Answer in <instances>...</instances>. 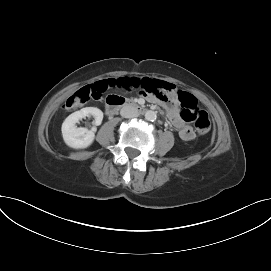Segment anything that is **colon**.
I'll return each instance as SVG.
<instances>
[{
	"label": "colon",
	"mask_w": 271,
	"mask_h": 271,
	"mask_svg": "<svg viewBox=\"0 0 271 271\" xmlns=\"http://www.w3.org/2000/svg\"><path fill=\"white\" fill-rule=\"evenodd\" d=\"M130 84L131 79H129L128 84H123L121 79L116 82L115 86L118 88L120 86H125L127 91L130 90ZM105 91L106 90L104 89H95L92 86L83 87L66 100L64 108L67 110L75 109L85 104L91 98H99L100 95ZM111 97L113 96H110L109 98ZM177 100L182 107L180 112L182 119L184 121L193 122L196 131L199 134H207L210 131L211 122L207 112L204 110H200L197 107V99L190 93L177 91Z\"/></svg>",
	"instance_id": "colon-1"
}]
</instances>
